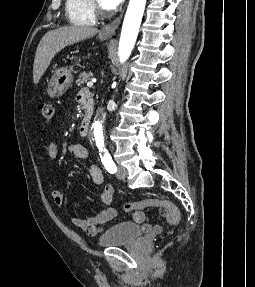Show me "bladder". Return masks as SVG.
I'll return each instance as SVG.
<instances>
[{
  "label": "bladder",
  "mask_w": 255,
  "mask_h": 287,
  "mask_svg": "<svg viewBox=\"0 0 255 287\" xmlns=\"http://www.w3.org/2000/svg\"><path fill=\"white\" fill-rule=\"evenodd\" d=\"M144 228L134 222H119L107 229L99 238L100 246H117L130 244L144 234Z\"/></svg>",
  "instance_id": "bladder-1"
}]
</instances>
